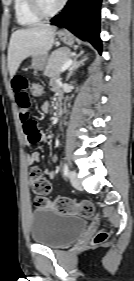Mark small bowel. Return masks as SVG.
<instances>
[{
    "mask_svg": "<svg viewBox=\"0 0 134 281\" xmlns=\"http://www.w3.org/2000/svg\"><path fill=\"white\" fill-rule=\"evenodd\" d=\"M11 87L19 106V118L23 127L24 134L29 144H36L45 141V136L40 130L38 124L29 116L31 107L30 81L25 74H15L11 79ZM51 87L53 90L59 88V80L52 79ZM29 167H33L39 162L40 157L37 152L30 153L26 156ZM52 162L57 161V155L54 154L51 158ZM44 175L49 178H54V171L51 169H44Z\"/></svg>",
    "mask_w": 134,
    "mask_h": 281,
    "instance_id": "obj_1",
    "label": "small bowel"
}]
</instances>
